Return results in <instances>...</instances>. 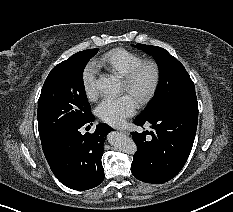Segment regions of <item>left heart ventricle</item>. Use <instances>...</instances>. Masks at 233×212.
<instances>
[{"label": "left heart ventricle", "mask_w": 233, "mask_h": 212, "mask_svg": "<svg viewBox=\"0 0 233 212\" xmlns=\"http://www.w3.org/2000/svg\"><path fill=\"white\" fill-rule=\"evenodd\" d=\"M150 80L151 73L149 70H145L140 76L136 87L132 91H127L124 83L123 90L126 91L129 95H131L135 100H137V97L148 87Z\"/></svg>", "instance_id": "left-heart-ventricle-1"}]
</instances>
